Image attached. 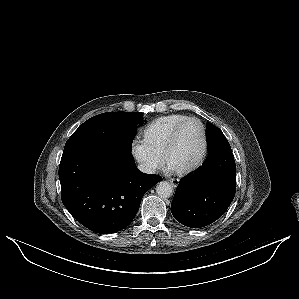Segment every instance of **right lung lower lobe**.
Listing matches in <instances>:
<instances>
[{
	"mask_svg": "<svg viewBox=\"0 0 299 299\" xmlns=\"http://www.w3.org/2000/svg\"><path fill=\"white\" fill-rule=\"evenodd\" d=\"M59 178L66 209L86 228L100 234L127 227L145 192L162 180L139 171L130 152L88 140L66 142Z\"/></svg>",
	"mask_w": 299,
	"mask_h": 299,
	"instance_id": "98d812e1",
	"label": "right lung lower lobe"
}]
</instances>
